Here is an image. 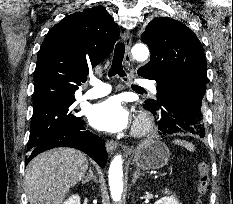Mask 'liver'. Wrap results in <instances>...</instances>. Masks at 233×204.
<instances>
[{"label": "liver", "mask_w": 233, "mask_h": 204, "mask_svg": "<svg viewBox=\"0 0 233 204\" xmlns=\"http://www.w3.org/2000/svg\"><path fill=\"white\" fill-rule=\"evenodd\" d=\"M89 166L85 154L55 148L35 157L25 171L30 204H61L69 189L82 180Z\"/></svg>", "instance_id": "obj_1"}]
</instances>
